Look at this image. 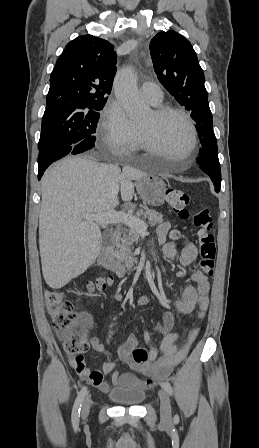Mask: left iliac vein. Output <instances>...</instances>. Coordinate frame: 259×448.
Returning <instances> with one entry per match:
<instances>
[{
    "mask_svg": "<svg viewBox=\"0 0 259 448\" xmlns=\"http://www.w3.org/2000/svg\"><path fill=\"white\" fill-rule=\"evenodd\" d=\"M160 397V415L161 419L165 423H169L171 421V403L168 396V393L165 389L159 390Z\"/></svg>",
    "mask_w": 259,
    "mask_h": 448,
    "instance_id": "left-iliac-vein-1",
    "label": "left iliac vein"
}]
</instances>
